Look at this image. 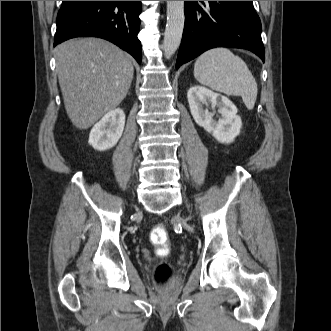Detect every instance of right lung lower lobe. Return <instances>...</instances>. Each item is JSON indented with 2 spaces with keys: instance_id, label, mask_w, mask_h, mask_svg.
Wrapping results in <instances>:
<instances>
[{
  "instance_id": "obj_1",
  "label": "right lung lower lobe",
  "mask_w": 331,
  "mask_h": 331,
  "mask_svg": "<svg viewBox=\"0 0 331 331\" xmlns=\"http://www.w3.org/2000/svg\"><path fill=\"white\" fill-rule=\"evenodd\" d=\"M140 13L141 1H63L54 46L74 37H100L141 63Z\"/></svg>"
}]
</instances>
